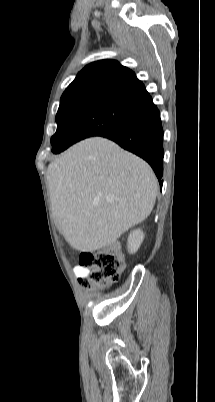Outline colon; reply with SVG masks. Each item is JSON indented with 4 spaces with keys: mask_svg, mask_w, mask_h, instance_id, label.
Wrapping results in <instances>:
<instances>
[{
    "mask_svg": "<svg viewBox=\"0 0 215 402\" xmlns=\"http://www.w3.org/2000/svg\"><path fill=\"white\" fill-rule=\"evenodd\" d=\"M80 266L88 268L87 277L80 279L85 288H99L120 278L124 262L120 253L113 247L106 251L83 253Z\"/></svg>",
    "mask_w": 215,
    "mask_h": 402,
    "instance_id": "5ec220e1",
    "label": "colon"
}]
</instances>
